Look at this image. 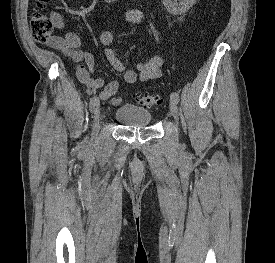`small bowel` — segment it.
I'll list each match as a JSON object with an SVG mask.
<instances>
[{
	"mask_svg": "<svg viewBox=\"0 0 275 263\" xmlns=\"http://www.w3.org/2000/svg\"><path fill=\"white\" fill-rule=\"evenodd\" d=\"M120 18L134 24H142L145 20V14L136 9H127L120 14ZM52 21L58 29L63 28V21L58 14L52 15ZM113 39V32L109 29L101 32L99 36V42L104 47L107 61L115 71L122 74L126 83L146 82L162 76L164 60L160 56H154L147 61L136 64L134 68L127 69L111 48ZM47 44L50 48L62 52L76 63V77L86 87L88 93L95 94L97 90H100L98 96L101 100L109 101L113 105L122 102L124 95H117L120 86L117 80L106 83L104 79L93 75L95 70L93 55L82 48V41L77 34L67 32L63 36H54Z\"/></svg>",
	"mask_w": 275,
	"mask_h": 263,
	"instance_id": "obj_1",
	"label": "small bowel"
}]
</instances>
